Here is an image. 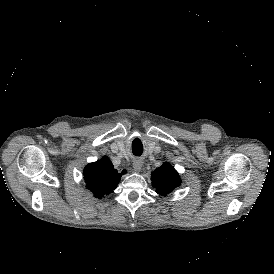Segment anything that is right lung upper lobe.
I'll list each match as a JSON object with an SVG mask.
<instances>
[{"mask_svg":"<svg viewBox=\"0 0 274 274\" xmlns=\"http://www.w3.org/2000/svg\"><path fill=\"white\" fill-rule=\"evenodd\" d=\"M125 173V170L120 173L114 169L107 156L88 164L83 172L86 188L99 199L116 189L121 175Z\"/></svg>","mask_w":274,"mask_h":274,"instance_id":"right-lung-upper-lobe-1","label":"right lung upper lobe"}]
</instances>
